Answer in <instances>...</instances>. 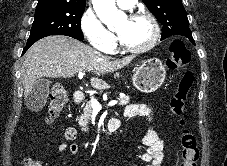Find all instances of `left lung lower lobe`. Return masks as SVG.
<instances>
[{"mask_svg": "<svg viewBox=\"0 0 227 166\" xmlns=\"http://www.w3.org/2000/svg\"><path fill=\"white\" fill-rule=\"evenodd\" d=\"M191 42L194 44V40H191Z\"/></svg>", "mask_w": 227, "mask_h": 166, "instance_id": "0a47b994", "label": "left lung lower lobe"}]
</instances>
